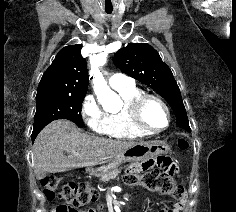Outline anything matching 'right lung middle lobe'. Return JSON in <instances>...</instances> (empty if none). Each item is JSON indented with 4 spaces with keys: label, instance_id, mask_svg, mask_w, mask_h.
Wrapping results in <instances>:
<instances>
[{
    "label": "right lung middle lobe",
    "instance_id": "dd1d6c3e",
    "mask_svg": "<svg viewBox=\"0 0 236 212\" xmlns=\"http://www.w3.org/2000/svg\"><path fill=\"white\" fill-rule=\"evenodd\" d=\"M85 95H50L36 98V113L32 141L37 134L50 122L56 119H68L80 127L84 126L81 107Z\"/></svg>",
    "mask_w": 236,
    "mask_h": 212
}]
</instances>
